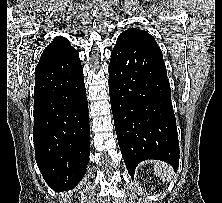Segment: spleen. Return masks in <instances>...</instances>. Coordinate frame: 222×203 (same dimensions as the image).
Wrapping results in <instances>:
<instances>
[{
	"label": "spleen",
	"instance_id": "spleen-1",
	"mask_svg": "<svg viewBox=\"0 0 222 203\" xmlns=\"http://www.w3.org/2000/svg\"><path fill=\"white\" fill-rule=\"evenodd\" d=\"M154 171L156 176H161L164 181L171 180L173 170L172 167L164 162L157 161L154 163Z\"/></svg>",
	"mask_w": 222,
	"mask_h": 203
}]
</instances>
